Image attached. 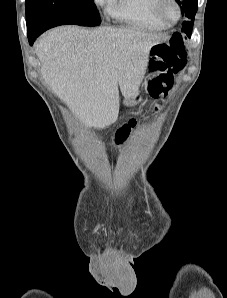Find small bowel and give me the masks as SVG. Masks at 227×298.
I'll list each match as a JSON object with an SVG mask.
<instances>
[{"label":"small bowel","instance_id":"obj_1","mask_svg":"<svg viewBox=\"0 0 227 298\" xmlns=\"http://www.w3.org/2000/svg\"><path fill=\"white\" fill-rule=\"evenodd\" d=\"M95 143H96V144H102V143H103V140H102V139H96V140H95Z\"/></svg>","mask_w":227,"mask_h":298}]
</instances>
